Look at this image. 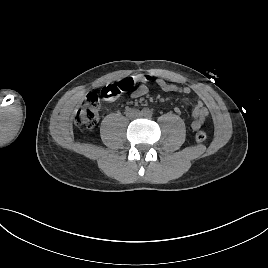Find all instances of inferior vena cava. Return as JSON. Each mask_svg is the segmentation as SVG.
Returning a JSON list of instances; mask_svg holds the SVG:
<instances>
[{
    "instance_id": "obj_1",
    "label": "inferior vena cava",
    "mask_w": 268,
    "mask_h": 268,
    "mask_svg": "<svg viewBox=\"0 0 268 268\" xmlns=\"http://www.w3.org/2000/svg\"><path fill=\"white\" fill-rule=\"evenodd\" d=\"M127 116H129L131 119H135L139 116V111L138 110L128 111Z\"/></svg>"
}]
</instances>
